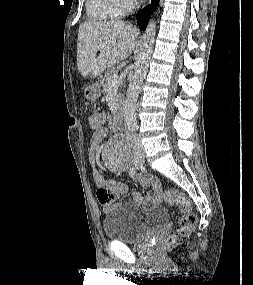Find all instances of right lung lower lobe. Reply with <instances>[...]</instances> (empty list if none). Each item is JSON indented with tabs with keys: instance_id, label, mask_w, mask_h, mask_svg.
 <instances>
[{
	"instance_id": "98d812e1",
	"label": "right lung lower lobe",
	"mask_w": 253,
	"mask_h": 285,
	"mask_svg": "<svg viewBox=\"0 0 253 285\" xmlns=\"http://www.w3.org/2000/svg\"><path fill=\"white\" fill-rule=\"evenodd\" d=\"M158 3H159V0H152L150 5H148L147 7L143 8L142 10L138 12L137 23L140 29L142 30L145 29L151 17V14L155 11Z\"/></svg>"
}]
</instances>
